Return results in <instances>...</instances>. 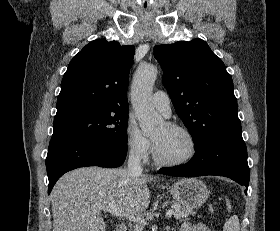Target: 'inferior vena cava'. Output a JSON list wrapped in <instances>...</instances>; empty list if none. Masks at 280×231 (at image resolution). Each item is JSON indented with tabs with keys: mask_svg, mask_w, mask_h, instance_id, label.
<instances>
[{
	"mask_svg": "<svg viewBox=\"0 0 280 231\" xmlns=\"http://www.w3.org/2000/svg\"><path fill=\"white\" fill-rule=\"evenodd\" d=\"M128 171L131 175H140L142 173L141 165V151L137 145H133L130 149L128 161H127Z\"/></svg>",
	"mask_w": 280,
	"mask_h": 231,
	"instance_id": "obj_1",
	"label": "inferior vena cava"
}]
</instances>
